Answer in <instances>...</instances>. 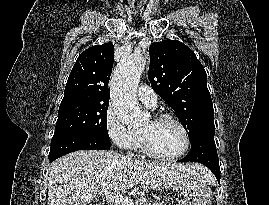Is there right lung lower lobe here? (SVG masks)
<instances>
[{
	"mask_svg": "<svg viewBox=\"0 0 269 205\" xmlns=\"http://www.w3.org/2000/svg\"><path fill=\"white\" fill-rule=\"evenodd\" d=\"M110 147L111 143L108 139H104L91 134L77 132L55 134L51 140V149L48 158L50 162H52L67 153L77 150H105Z\"/></svg>",
	"mask_w": 269,
	"mask_h": 205,
	"instance_id": "1",
	"label": "right lung lower lobe"
}]
</instances>
